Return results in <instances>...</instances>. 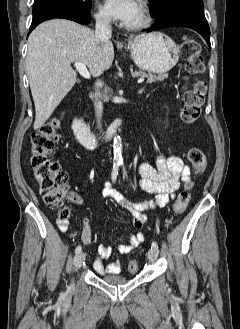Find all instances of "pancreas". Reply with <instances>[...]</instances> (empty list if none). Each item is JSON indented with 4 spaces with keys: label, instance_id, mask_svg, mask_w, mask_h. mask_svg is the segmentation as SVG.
I'll return each mask as SVG.
<instances>
[{
    "label": "pancreas",
    "instance_id": "1",
    "mask_svg": "<svg viewBox=\"0 0 240 329\" xmlns=\"http://www.w3.org/2000/svg\"><path fill=\"white\" fill-rule=\"evenodd\" d=\"M137 77L147 78V83H154L156 81H163L165 78L168 77L167 74H159L158 76L153 75L151 73H145L143 71H136L134 73Z\"/></svg>",
    "mask_w": 240,
    "mask_h": 329
}]
</instances>
